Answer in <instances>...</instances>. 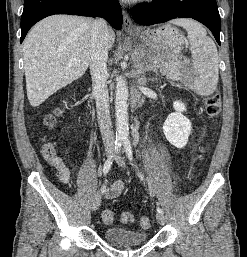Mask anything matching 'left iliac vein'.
I'll use <instances>...</instances> for the list:
<instances>
[{
	"label": "left iliac vein",
	"instance_id": "left-iliac-vein-1",
	"mask_svg": "<svg viewBox=\"0 0 247 257\" xmlns=\"http://www.w3.org/2000/svg\"><path fill=\"white\" fill-rule=\"evenodd\" d=\"M115 161L119 166L125 168V161H124V159L121 155H117L116 158H115ZM156 219H157L159 224H161V225L165 224V216L163 215V213L158 212L156 214Z\"/></svg>",
	"mask_w": 247,
	"mask_h": 257
}]
</instances>
